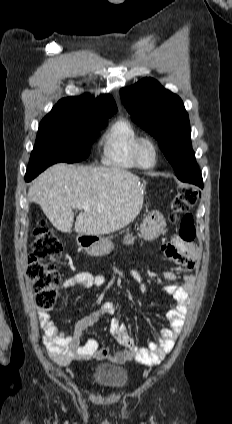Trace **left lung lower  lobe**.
Returning a JSON list of instances; mask_svg holds the SVG:
<instances>
[{
  "instance_id": "obj_1",
  "label": "left lung lower lobe",
  "mask_w": 232,
  "mask_h": 424,
  "mask_svg": "<svg viewBox=\"0 0 232 424\" xmlns=\"http://www.w3.org/2000/svg\"><path fill=\"white\" fill-rule=\"evenodd\" d=\"M183 182H189L198 185L199 187L203 188V180L201 176L200 170L193 173L192 175H189L188 177L181 180Z\"/></svg>"
}]
</instances>
